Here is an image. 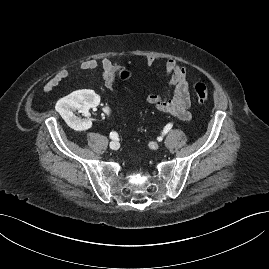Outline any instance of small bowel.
Listing matches in <instances>:
<instances>
[{
	"instance_id": "small-bowel-1",
	"label": "small bowel",
	"mask_w": 269,
	"mask_h": 269,
	"mask_svg": "<svg viewBox=\"0 0 269 269\" xmlns=\"http://www.w3.org/2000/svg\"><path fill=\"white\" fill-rule=\"evenodd\" d=\"M160 62L161 59L158 56H145L142 60V63L149 67L157 66ZM124 67L127 68L126 66ZM80 69H100L104 85L109 89H113L117 73L119 70L123 69V66L115 64L109 58H102L100 60L87 59L81 63ZM164 70L168 86L167 97L151 93L145 96V102L160 112L170 114L183 122H189L192 115L189 110L191 106V98L186 67L176 59H168L164 63ZM67 75V70H61L56 73L44 85V92H51L67 77ZM125 109L128 110L129 107L126 106Z\"/></svg>"
}]
</instances>
